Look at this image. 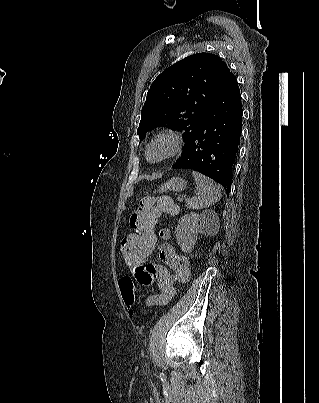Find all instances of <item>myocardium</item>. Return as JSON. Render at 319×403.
<instances>
[{"instance_id": "myocardium-1", "label": "myocardium", "mask_w": 319, "mask_h": 403, "mask_svg": "<svg viewBox=\"0 0 319 403\" xmlns=\"http://www.w3.org/2000/svg\"><path fill=\"white\" fill-rule=\"evenodd\" d=\"M166 141L168 143V150L166 153L158 159L150 158V150L153 145L158 142ZM183 137L181 133L173 128H167L158 132L147 144L146 146V158L150 162L160 163L167 161L176 155H178L183 148Z\"/></svg>"}]
</instances>
